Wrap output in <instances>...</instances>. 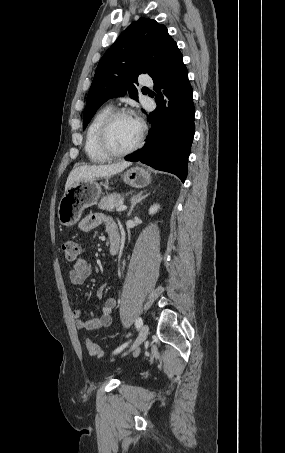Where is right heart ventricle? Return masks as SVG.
Instances as JSON below:
<instances>
[{
    "mask_svg": "<svg viewBox=\"0 0 285 453\" xmlns=\"http://www.w3.org/2000/svg\"><path fill=\"white\" fill-rule=\"evenodd\" d=\"M112 112L111 106H104L92 117L85 134L84 150L92 163H104L109 157L102 152L98 144V133L104 119Z\"/></svg>",
    "mask_w": 285,
    "mask_h": 453,
    "instance_id": "1",
    "label": "right heart ventricle"
}]
</instances>
